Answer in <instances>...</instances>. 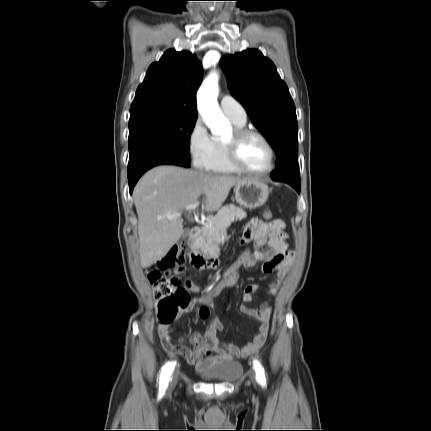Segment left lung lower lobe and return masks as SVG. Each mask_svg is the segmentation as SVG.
<instances>
[{"label": "left lung lower lobe", "mask_w": 431, "mask_h": 431, "mask_svg": "<svg viewBox=\"0 0 431 431\" xmlns=\"http://www.w3.org/2000/svg\"><path fill=\"white\" fill-rule=\"evenodd\" d=\"M278 181H283L285 183H288L289 185H291L292 187H294L298 193L300 192V180H298V181H294V180H278Z\"/></svg>", "instance_id": "obj_1"}]
</instances>
